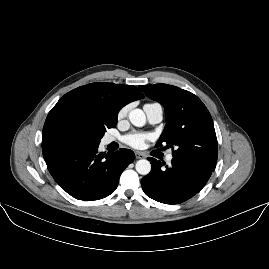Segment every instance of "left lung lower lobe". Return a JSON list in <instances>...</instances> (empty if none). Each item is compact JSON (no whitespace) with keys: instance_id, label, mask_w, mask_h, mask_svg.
<instances>
[{"instance_id":"0a47b994","label":"left lung lower lobe","mask_w":269,"mask_h":269,"mask_svg":"<svg viewBox=\"0 0 269 269\" xmlns=\"http://www.w3.org/2000/svg\"><path fill=\"white\" fill-rule=\"evenodd\" d=\"M151 172L142 178V189L150 198L166 204L182 203L198 193L207 183L212 169L173 157L168 167L154 158Z\"/></svg>"}]
</instances>
